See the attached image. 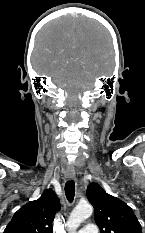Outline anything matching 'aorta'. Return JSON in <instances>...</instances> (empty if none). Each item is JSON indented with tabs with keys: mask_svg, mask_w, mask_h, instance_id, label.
<instances>
[{
	"mask_svg": "<svg viewBox=\"0 0 145 233\" xmlns=\"http://www.w3.org/2000/svg\"><path fill=\"white\" fill-rule=\"evenodd\" d=\"M93 207L89 203L79 204L70 214L67 228L70 233H76L80 224L92 215Z\"/></svg>",
	"mask_w": 145,
	"mask_h": 233,
	"instance_id": "obj_1",
	"label": "aorta"
}]
</instances>
